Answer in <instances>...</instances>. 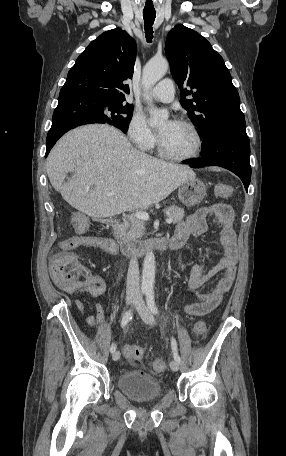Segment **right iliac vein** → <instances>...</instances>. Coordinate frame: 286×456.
Segmentation results:
<instances>
[{
  "label": "right iliac vein",
  "mask_w": 286,
  "mask_h": 456,
  "mask_svg": "<svg viewBox=\"0 0 286 456\" xmlns=\"http://www.w3.org/2000/svg\"><path fill=\"white\" fill-rule=\"evenodd\" d=\"M136 301H137V298L135 296H133V295L127 296L126 305L130 306V305L134 304ZM119 358H120V352L119 351H115L113 353V355H112V359L114 361H117V360H119Z\"/></svg>",
  "instance_id": "63e3f726"
}]
</instances>
